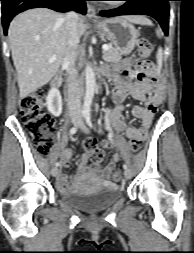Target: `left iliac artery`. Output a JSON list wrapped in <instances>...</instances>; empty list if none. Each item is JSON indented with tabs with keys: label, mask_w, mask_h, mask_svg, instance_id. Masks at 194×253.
Segmentation results:
<instances>
[{
	"label": "left iliac artery",
	"mask_w": 194,
	"mask_h": 253,
	"mask_svg": "<svg viewBox=\"0 0 194 253\" xmlns=\"http://www.w3.org/2000/svg\"><path fill=\"white\" fill-rule=\"evenodd\" d=\"M85 118H86L87 124H88L90 127H93V124H92V122H91L90 113H87ZM123 168L126 170V169H128V166H127L126 164H124V165H123Z\"/></svg>",
	"instance_id": "1"
}]
</instances>
